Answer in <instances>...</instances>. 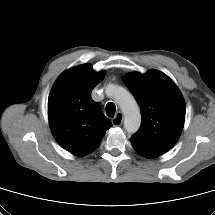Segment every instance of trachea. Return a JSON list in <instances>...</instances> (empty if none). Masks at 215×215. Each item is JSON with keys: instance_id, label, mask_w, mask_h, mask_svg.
<instances>
[{"instance_id": "trachea-1", "label": "trachea", "mask_w": 215, "mask_h": 215, "mask_svg": "<svg viewBox=\"0 0 215 215\" xmlns=\"http://www.w3.org/2000/svg\"><path fill=\"white\" fill-rule=\"evenodd\" d=\"M115 111H116L115 104L112 103V102L107 103V105H106V114L109 117H114Z\"/></svg>"}]
</instances>
